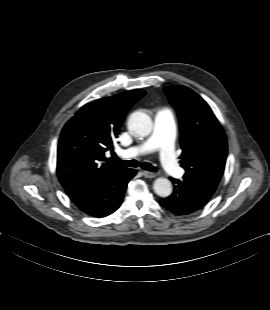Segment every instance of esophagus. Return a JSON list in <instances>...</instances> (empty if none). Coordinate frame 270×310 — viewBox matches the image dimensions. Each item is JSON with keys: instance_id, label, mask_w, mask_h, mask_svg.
Masks as SVG:
<instances>
[{"instance_id": "esophagus-1", "label": "esophagus", "mask_w": 270, "mask_h": 310, "mask_svg": "<svg viewBox=\"0 0 270 310\" xmlns=\"http://www.w3.org/2000/svg\"><path fill=\"white\" fill-rule=\"evenodd\" d=\"M142 173H143L144 177H146V178H154L157 176V174L154 172L143 171Z\"/></svg>"}]
</instances>
